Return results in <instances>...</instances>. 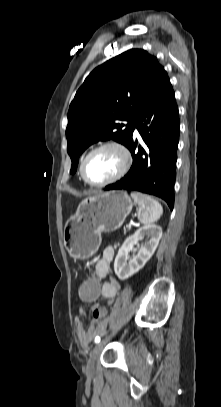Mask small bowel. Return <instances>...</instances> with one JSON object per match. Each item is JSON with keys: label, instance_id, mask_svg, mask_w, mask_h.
<instances>
[{"label": "small bowel", "instance_id": "obj_1", "mask_svg": "<svg viewBox=\"0 0 221 407\" xmlns=\"http://www.w3.org/2000/svg\"><path fill=\"white\" fill-rule=\"evenodd\" d=\"M114 256L115 250L113 247L110 246L105 248L100 260L95 265L94 270L101 283V292H99V294L100 296L107 299L109 305L113 304L114 299L120 289L119 282L114 277H110L108 280H106V278L110 274L111 263L114 259ZM97 305H100V303L98 301H93L91 303V308L95 310V307ZM79 312L81 316L85 315L84 309H80ZM74 322L77 329L79 341L84 346L89 345L95 336L99 335L105 330L107 325V322L104 318H94L91 324L88 326L84 324L83 320L80 317H76Z\"/></svg>", "mask_w": 221, "mask_h": 407}]
</instances>
